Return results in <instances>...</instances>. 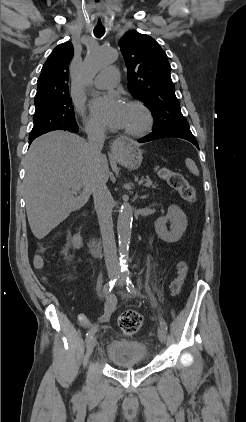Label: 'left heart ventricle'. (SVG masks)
Instances as JSON below:
<instances>
[{
  "instance_id": "left-heart-ventricle-1",
  "label": "left heart ventricle",
  "mask_w": 246,
  "mask_h": 422,
  "mask_svg": "<svg viewBox=\"0 0 246 422\" xmlns=\"http://www.w3.org/2000/svg\"><path fill=\"white\" fill-rule=\"evenodd\" d=\"M143 117L140 111L136 108L127 105L126 116L124 122V129H135L141 126Z\"/></svg>"
}]
</instances>
